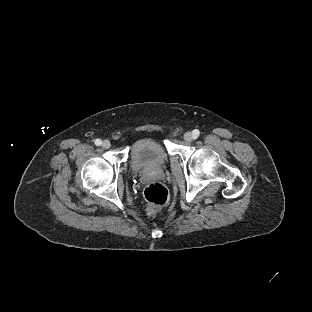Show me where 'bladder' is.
I'll list each match as a JSON object with an SVG mask.
<instances>
[{"label": "bladder", "instance_id": "1", "mask_svg": "<svg viewBox=\"0 0 312 312\" xmlns=\"http://www.w3.org/2000/svg\"><path fill=\"white\" fill-rule=\"evenodd\" d=\"M131 168L135 174L166 166L168 154L165 147L155 139L142 138L131 146Z\"/></svg>", "mask_w": 312, "mask_h": 312}]
</instances>
